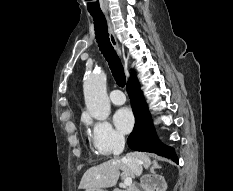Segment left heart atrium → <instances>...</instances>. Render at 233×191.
<instances>
[{
	"label": "left heart atrium",
	"instance_id": "obj_1",
	"mask_svg": "<svg viewBox=\"0 0 233 191\" xmlns=\"http://www.w3.org/2000/svg\"><path fill=\"white\" fill-rule=\"evenodd\" d=\"M114 124L121 133H129L134 126V116L129 108H121L113 117Z\"/></svg>",
	"mask_w": 233,
	"mask_h": 191
}]
</instances>
